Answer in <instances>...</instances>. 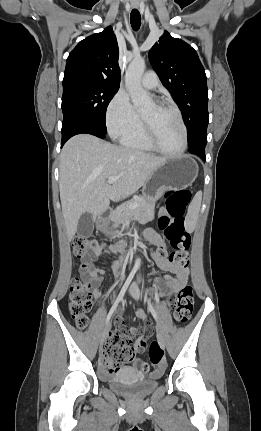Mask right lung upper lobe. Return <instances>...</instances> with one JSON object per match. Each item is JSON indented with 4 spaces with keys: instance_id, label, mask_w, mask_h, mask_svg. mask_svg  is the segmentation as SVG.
Returning a JSON list of instances; mask_svg holds the SVG:
<instances>
[{
    "instance_id": "obj_1",
    "label": "right lung upper lobe",
    "mask_w": 261,
    "mask_h": 431,
    "mask_svg": "<svg viewBox=\"0 0 261 431\" xmlns=\"http://www.w3.org/2000/svg\"><path fill=\"white\" fill-rule=\"evenodd\" d=\"M118 56L117 40L112 27L108 26L80 41L71 51L63 80L84 77L119 88Z\"/></svg>"
}]
</instances>
